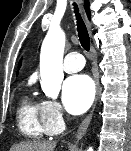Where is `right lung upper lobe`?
I'll return each mask as SVG.
<instances>
[{"label": "right lung upper lobe", "mask_w": 131, "mask_h": 151, "mask_svg": "<svg viewBox=\"0 0 131 151\" xmlns=\"http://www.w3.org/2000/svg\"><path fill=\"white\" fill-rule=\"evenodd\" d=\"M85 10H86V13L88 15V17L90 18V11H89V3L88 1H85ZM21 63L19 64V67H20Z\"/></svg>", "instance_id": "right-lung-upper-lobe-1"}]
</instances>
